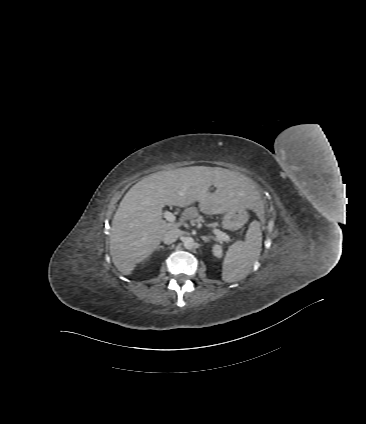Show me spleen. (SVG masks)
I'll use <instances>...</instances> for the list:
<instances>
[{"mask_svg": "<svg viewBox=\"0 0 366 424\" xmlns=\"http://www.w3.org/2000/svg\"><path fill=\"white\" fill-rule=\"evenodd\" d=\"M262 217V214H258ZM259 221L251 222L245 241H237L226 251L222 264V279L233 283L244 279L260 256L262 232Z\"/></svg>", "mask_w": 366, "mask_h": 424, "instance_id": "spleen-1", "label": "spleen"}]
</instances>
